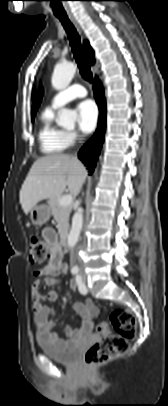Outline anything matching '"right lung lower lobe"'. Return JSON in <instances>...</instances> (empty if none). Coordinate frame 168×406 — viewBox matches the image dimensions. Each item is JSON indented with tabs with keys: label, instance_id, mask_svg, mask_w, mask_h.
Returning <instances> with one entry per match:
<instances>
[{
	"label": "right lung lower lobe",
	"instance_id": "1",
	"mask_svg": "<svg viewBox=\"0 0 168 406\" xmlns=\"http://www.w3.org/2000/svg\"><path fill=\"white\" fill-rule=\"evenodd\" d=\"M93 89L95 99L100 110L98 127L92 138L80 149L78 153L79 159L86 164L90 173L94 171L96 161L98 159L100 149L104 140L106 127V103L102 84L98 78H96L94 82Z\"/></svg>",
	"mask_w": 168,
	"mask_h": 406
}]
</instances>
